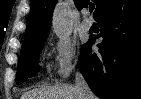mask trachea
<instances>
[{
  "label": "trachea",
  "instance_id": "1",
  "mask_svg": "<svg viewBox=\"0 0 141 99\" xmlns=\"http://www.w3.org/2000/svg\"><path fill=\"white\" fill-rule=\"evenodd\" d=\"M94 8H95L94 6H91L90 7V12H92L94 10Z\"/></svg>",
  "mask_w": 141,
  "mask_h": 99
}]
</instances>
